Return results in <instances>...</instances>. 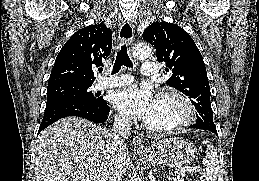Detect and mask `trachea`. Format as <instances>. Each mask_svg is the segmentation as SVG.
Instances as JSON below:
<instances>
[{
  "label": "trachea",
  "instance_id": "1",
  "mask_svg": "<svg viewBox=\"0 0 259 181\" xmlns=\"http://www.w3.org/2000/svg\"><path fill=\"white\" fill-rule=\"evenodd\" d=\"M132 67V62L127 53L126 45H122L120 50L117 52L116 60L112 68V74L119 72L122 66ZM102 68L100 72H102Z\"/></svg>",
  "mask_w": 259,
  "mask_h": 181
}]
</instances>
